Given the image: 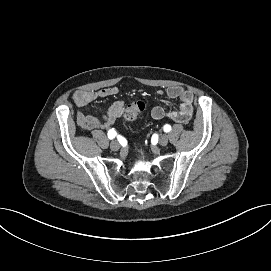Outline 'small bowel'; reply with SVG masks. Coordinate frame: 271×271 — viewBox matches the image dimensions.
Instances as JSON below:
<instances>
[{
	"instance_id": "obj_1",
	"label": "small bowel",
	"mask_w": 271,
	"mask_h": 271,
	"mask_svg": "<svg viewBox=\"0 0 271 271\" xmlns=\"http://www.w3.org/2000/svg\"><path fill=\"white\" fill-rule=\"evenodd\" d=\"M119 93L118 87H107L100 90L84 91L78 90L74 92L72 98L78 108H84L89 103L100 98L115 96ZM159 94L166 95L172 99L180 101L177 110L168 111L160 106H156L151 110V116L154 119L170 118L175 122L186 123L193 115V94L191 91L180 87L171 86L165 90L159 91ZM125 104L122 101H116L109 105L107 112L101 117L86 115L83 112L77 113V124L87 131H99L112 126L115 121L120 118L124 112Z\"/></svg>"
}]
</instances>
